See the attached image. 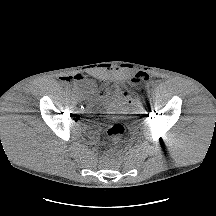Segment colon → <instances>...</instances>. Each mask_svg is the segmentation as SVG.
<instances>
[{"mask_svg": "<svg viewBox=\"0 0 216 216\" xmlns=\"http://www.w3.org/2000/svg\"><path fill=\"white\" fill-rule=\"evenodd\" d=\"M145 78L147 79L146 76ZM107 92V87L104 84H101L98 88L97 94L104 95ZM106 132L113 144H119L123 138L125 128L122 124L111 121L106 124Z\"/></svg>", "mask_w": 216, "mask_h": 216, "instance_id": "5ec220e1", "label": "colon"}]
</instances>
